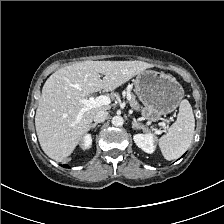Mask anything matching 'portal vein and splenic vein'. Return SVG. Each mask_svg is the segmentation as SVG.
<instances>
[{
	"instance_id": "portal-vein-and-splenic-vein-1",
	"label": "portal vein and splenic vein",
	"mask_w": 224,
	"mask_h": 224,
	"mask_svg": "<svg viewBox=\"0 0 224 224\" xmlns=\"http://www.w3.org/2000/svg\"><path fill=\"white\" fill-rule=\"evenodd\" d=\"M79 101L80 103L84 105V107L82 108V110L77 116V119H76L77 122L80 121L81 115L83 112L90 110L92 108L103 106V105H109L111 103L110 97L106 95H101L96 98L90 97L88 99L87 98L79 99Z\"/></svg>"
}]
</instances>
